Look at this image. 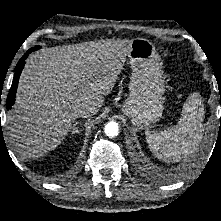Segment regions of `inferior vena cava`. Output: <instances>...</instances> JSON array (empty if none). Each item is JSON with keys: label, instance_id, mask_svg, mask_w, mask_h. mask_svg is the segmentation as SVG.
<instances>
[{"label": "inferior vena cava", "instance_id": "602c4592", "mask_svg": "<svg viewBox=\"0 0 221 221\" xmlns=\"http://www.w3.org/2000/svg\"><path fill=\"white\" fill-rule=\"evenodd\" d=\"M77 116L81 118H87L97 113V109L91 105H81L76 110Z\"/></svg>", "mask_w": 221, "mask_h": 221}]
</instances>
